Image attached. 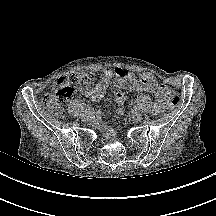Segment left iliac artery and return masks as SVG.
Returning a JSON list of instances; mask_svg holds the SVG:
<instances>
[{"mask_svg": "<svg viewBox=\"0 0 216 216\" xmlns=\"http://www.w3.org/2000/svg\"><path fill=\"white\" fill-rule=\"evenodd\" d=\"M132 110H133V111H132V113H134V114H135V113L137 112V111H136V110H137V107H136V106H134Z\"/></svg>", "mask_w": 216, "mask_h": 216, "instance_id": "obj_1", "label": "left iliac artery"}]
</instances>
